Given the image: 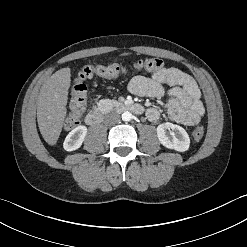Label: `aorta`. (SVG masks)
Masks as SVG:
<instances>
[{"instance_id": "762f6f07", "label": "aorta", "mask_w": 247, "mask_h": 247, "mask_svg": "<svg viewBox=\"0 0 247 247\" xmlns=\"http://www.w3.org/2000/svg\"><path fill=\"white\" fill-rule=\"evenodd\" d=\"M121 117L123 121H130L132 119V114L126 111L121 115Z\"/></svg>"}]
</instances>
